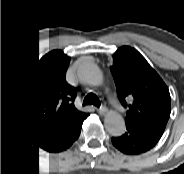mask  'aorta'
I'll list each match as a JSON object with an SVG mask.
<instances>
[{"instance_id": "762f6f07", "label": "aorta", "mask_w": 184, "mask_h": 174, "mask_svg": "<svg viewBox=\"0 0 184 174\" xmlns=\"http://www.w3.org/2000/svg\"><path fill=\"white\" fill-rule=\"evenodd\" d=\"M88 82L94 86L101 85L103 82V74L95 65L90 66L88 69ZM104 124L113 135H120L125 130V121L116 111H109L105 115Z\"/></svg>"}]
</instances>
